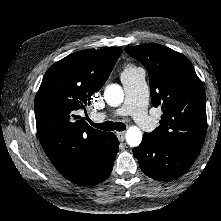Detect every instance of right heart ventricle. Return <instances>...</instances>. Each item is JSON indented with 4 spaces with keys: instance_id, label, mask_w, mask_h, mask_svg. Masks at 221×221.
I'll list each match as a JSON object with an SVG mask.
<instances>
[{
    "instance_id": "e07e8e85",
    "label": "right heart ventricle",
    "mask_w": 221,
    "mask_h": 221,
    "mask_svg": "<svg viewBox=\"0 0 221 221\" xmlns=\"http://www.w3.org/2000/svg\"><path fill=\"white\" fill-rule=\"evenodd\" d=\"M137 68L135 66H132V65H129L127 66L124 71L122 72V74H125V73H130V72H133L135 71Z\"/></svg>"
}]
</instances>
